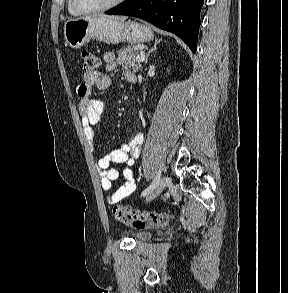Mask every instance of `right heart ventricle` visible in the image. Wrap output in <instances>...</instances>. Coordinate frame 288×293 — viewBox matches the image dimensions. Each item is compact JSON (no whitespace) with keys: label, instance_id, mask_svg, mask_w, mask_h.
Masks as SVG:
<instances>
[{"label":"right heart ventricle","instance_id":"e07e8e85","mask_svg":"<svg viewBox=\"0 0 288 293\" xmlns=\"http://www.w3.org/2000/svg\"><path fill=\"white\" fill-rule=\"evenodd\" d=\"M67 8H68V11L71 15H74V16H78L80 15V13L76 12L73 7L71 6V3H70V0H68V3H67Z\"/></svg>","mask_w":288,"mask_h":293}]
</instances>
